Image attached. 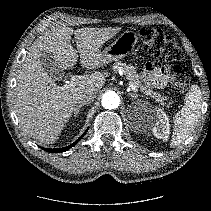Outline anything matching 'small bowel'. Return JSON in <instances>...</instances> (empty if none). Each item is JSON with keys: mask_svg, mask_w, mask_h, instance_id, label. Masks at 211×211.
Listing matches in <instances>:
<instances>
[{"mask_svg": "<svg viewBox=\"0 0 211 211\" xmlns=\"http://www.w3.org/2000/svg\"><path fill=\"white\" fill-rule=\"evenodd\" d=\"M142 76L151 86L163 88L168 80V69L159 63L149 62Z\"/></svg>", "mask_w": 211, "mask_h": 211, "instance_id": "small-bowel-1", "label": "small bowel"}]
</instances>
